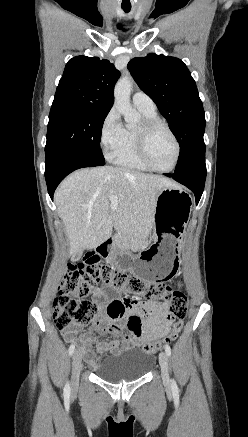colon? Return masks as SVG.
Wrapping results in <instances>:
<instances>
[{"label":"colon","instance_id":"obj_1","mask_svg":"<svg viewBox=\"0 0 248 437\" xmlns=\"http://www.w3.org/2000/svg\"><path fill=\"white\" fill-rule=\"evenodd\" d=\"M102 257L87 255L76 264H70L63 276L55 299L54 323L60 330L71 326L84 327L93 324L102 305L92 298L99 285H112L115 290L142 300H162L168 305V319L172 322L171 331L162 339L145 342L142 350L156 353L164 343L176 340L183 327L187 313V298L179 290L166 286H144V279L135 275L115 272L110 265L101 262ZM108 311V307H107Z\"/></svg>","mask_w":248,"mask_h":437}]
</instances>
